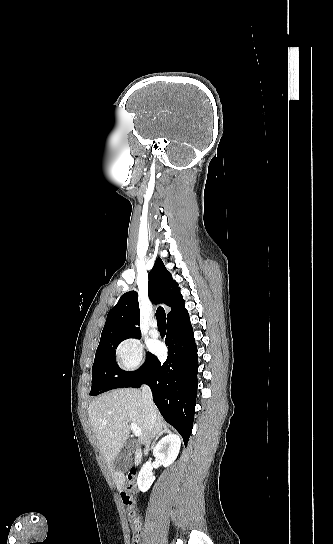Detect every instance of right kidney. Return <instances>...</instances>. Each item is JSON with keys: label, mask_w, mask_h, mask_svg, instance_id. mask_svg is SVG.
Listing matches in <instances>:
<instances>
[{"label": "right kidney", "mask_w": 333, "mask_h": 544, "mask_svg": "<svg viewBox=\"0 0 333 544\" xmlns=\"http://www.w3.org/2000/svg\"><path fill=\"white\" fill-rule=\"evenodd\" d=\"M181 441L178 435L169 433L162 438L153 449V455L158 459L164 467L170 466L179 454ZM155 477L152 475V464L146 462L138 474L137 484L142 492H146L154 482Z\"/></svg>", "instance_id": "obj_1"}]
</instances>
